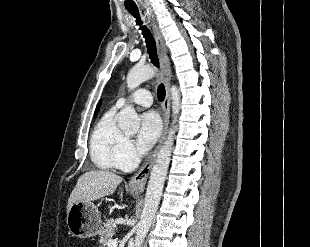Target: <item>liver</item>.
Returning <instances> with one entry per match:
<instances>
[{"label": "liver", "instance_id": "1", "mask_svg": "<svg viewBox=\"0 0 310 247\" xmlns=\"http://www.w3.org/2000/svg\"><path fill=\"white\" fill-rule=\"evenodd\" d=\"M122 177L106 170H90L82 174L67 204V212L76 202H91L113 194Z\"/></svg>", "mask_w": 310, "mask_h": 247}]
</instances>
